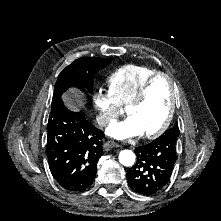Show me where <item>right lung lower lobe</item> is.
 <instances>
[{
    "instance_id": "98d812e1",
    "label": "right lung lower lobe",
    "mask_w": 221,
    "mask_h": 221,
    "mask_svg": "<svg viewBox=\"0 0 221 221\" xmlns=\"http://www.w3.org/2000/svg\"><path fill=\"white\" fill-rule=\"evenodd\" d=\"M47 131V157L54 179L69 191L89 188L103 155V131L89 123L82 112L68 110L62 100L51 108Z\"/></svg>"
}]
</instances>
